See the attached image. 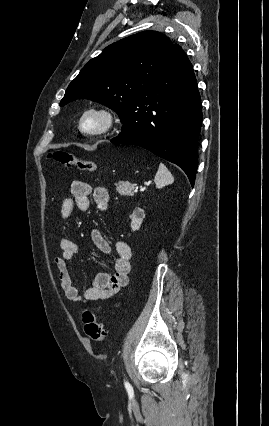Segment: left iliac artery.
<instances>
[{"mask_svg": "<svg viewBox=\"0 0 269 426\" xmlns=\"http://www.w3.org/2000/svg\"><path fill=\"white\" fill-rule=\"evenodd\" d=\"M124 385H125V388H126V390H127L128 392H132V391H133V388H132V386L130 385V383H129V382L124 381Z\"/></svg>", "mask_w": 269, "mask_h": 426, "instance_id": "44dca946", "label": "left iliac artery"}]
</instances>
